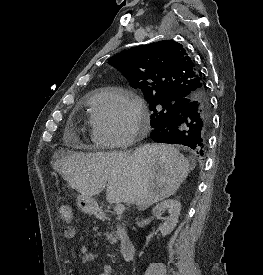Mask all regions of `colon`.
Listing matches in <instances>:
<instances>
[{"mask_svg": "<svg viewBox=\"0 0 263 275\" xmlns=\"http://www.w3.org/2000/svg\"><path fill=\"white\" fill-rule=\"evenodd\" d=\"M59 216L64 222H71L73 219V210L69 205H61L59 207Z\"/></svg>", "mask_w": 263, "mask_h": 275, "instance_id": "obj_1", "label": "colon"}]
</instances>
